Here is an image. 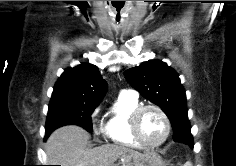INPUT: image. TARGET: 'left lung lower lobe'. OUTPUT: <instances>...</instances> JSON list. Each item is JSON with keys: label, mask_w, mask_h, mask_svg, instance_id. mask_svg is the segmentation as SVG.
I'll return each mask as SVG.
<instances>
[{"label": "left lung lower lobe", "mask_w": 236, "mask_h": 166, "mask_svg": "<svg viewBox=\"0 0 236 166\" xmlns=\"http://www.w3.org/2000/svg\"><path fill=\"white\" fill-rule=\"evenodd\" d=\"M171 124L174 132L173 140L175 142L185 143L193 147V138L187 124L182 123L181 121H174Z\"/></svg>", "instance_id": "obj_1"}]
</instances>
